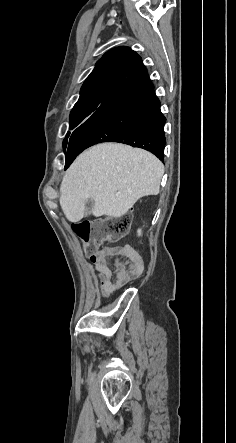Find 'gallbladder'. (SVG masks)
I'll list each match as a JSON object with an SVG mask.
<instances>
[{"label": "gallbladder", "instance_id": "gallbladder-1", "mask_svg": "<svg viewBox=\"0 0 236 443\" xmlns=\"http://www.w3.org/2000/svg\"><path fill=\"white\" fill-rule=\"evenodd\" d=\"M94 206V201L92 199H88L85 202V212L84 216L87 217L91 214L92 208Z\"/></svg>", "mask_w": 236, "mask_h": 443}]
</instances>
